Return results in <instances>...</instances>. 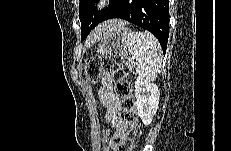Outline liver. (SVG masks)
<instances>
[{
  "mask_svg": "<svg viewBox=\"0 0 231 151\" xmlns=\"http://www.w3.org/2000/svg\"><path fill=\"white\" fill-rule=\"evenodd\" d=\"M127 23L123 20H109L100 25H98L90 34L89 38L86 40V46H90L94 44L98 40H100L108 31L114 29H121Z\"/></svg>",
  "mask_w": 231,
  "mask_h": 151,
  "instance_id": "1",
  "label": "liver"
}]
</instances>
